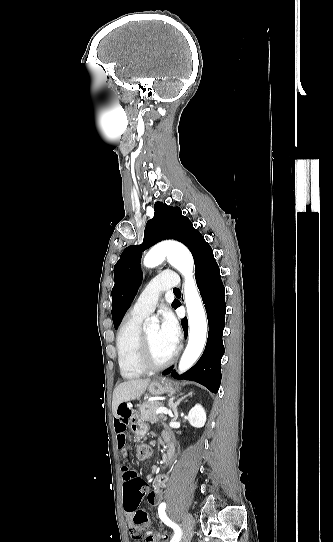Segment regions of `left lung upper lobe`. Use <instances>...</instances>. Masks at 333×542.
<instances>
[{
	"mask_svg": "<svg viewBox=\"0 0 333 542\" xmlns=\"http://www.w3.org/2000/svg\"><path fill=\"white\" fill-rule=\"evenodd\" d=\"M154 210V217L148 221L145 228L143 244L127 247L114 266L115 285L112 289V318L115 329L131 305L141 284L140 261L145 249L162 240L174 239L189 248L194 262H196L202 245L206 243L201 233L194 229L191 221L182 215L179 207L156 202ZM172 307L175 308V300Z\"/></svg>",
	"mask_w": 333,
	"mask_h": 542,
	"instance_id": "obj_1",
	"label": "left lung upper lobe"
}]
</instances>
